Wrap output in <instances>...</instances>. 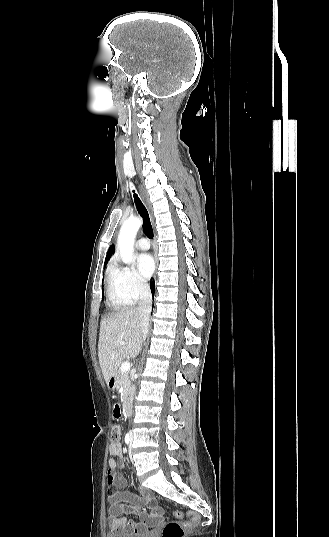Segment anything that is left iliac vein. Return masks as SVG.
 I'll use <instances>...</instances> for the list:
<instances>
[{
	"mask_svg": "<svg viewBox=\"0 0 329 537\" xmlns=\"http://www.w3.org/2000/svg\"><path fill=\"white\" fill-rule=\"evenodd\" d=\"M132 440H133V435L131 434V438H130V448H131Z\"/></svg>",
	"mask_w": 329,
	"mask_h": 537,
	"instance_id": "obj_1",
	"label": "left iliac vein"
}]
</instances>
